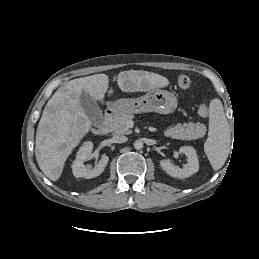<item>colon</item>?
<instances>
[{"mask_svg":"<svg viewBox=\"0 0 259 259\" xmlns=\"http://www.w3.org/2000/svg\"><path fill=\"white\" fill-rule=\"evenodd\" d=\"M192 84V79L187 75H180L178 77V85L182 89H188ZM198 113L201 117H206L209 114V107L206 103L199 106Z\"/></svg>","mask_w":259,"mask_h":259,"instance_id":"colon-1","label":"colon"}]
</instances>
